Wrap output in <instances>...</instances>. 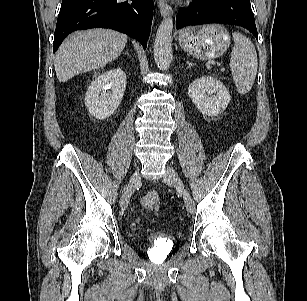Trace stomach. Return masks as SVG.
<instances>
[{
	"instance_id": "1",
	"label": "stomach",
	"mask_w": 307,
	"mask_h": 301,
	"mask_svg": "<svg viewBox=\"0 0 307 301\" xmlns=\"http://www.w3.org/2000/svg\"><path fill=\"white\" fill-rule=\"evenodd\" d=\"M181 48L202 60L217 58L225 53L230 45V36L225 27L219 24L187 27L179 33Z\"/></svg>"
}]
</instances>
